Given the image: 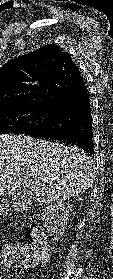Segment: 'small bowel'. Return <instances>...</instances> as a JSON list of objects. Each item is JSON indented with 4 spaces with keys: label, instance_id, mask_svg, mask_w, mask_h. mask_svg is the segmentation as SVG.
I'll return each instance as SVG.
<instances>
[{
    "label": "small bowel",
    "instance_id": "c3829d8e",
    "mask_svg": "<svg viewBox=\"0 0 113 279\" xmlns=\"http://www.w3.org/2000/svg\"><path fill=\"white\" fill-rule=\"evenodd\" d=\"M9 266H15L14 264L10 263ZM0 279H2V276L0 274Z\"/></svg>",
    "mask_w": 113,
    "mask_h": 279
}]
</instances>
